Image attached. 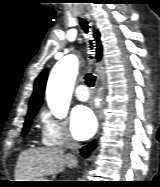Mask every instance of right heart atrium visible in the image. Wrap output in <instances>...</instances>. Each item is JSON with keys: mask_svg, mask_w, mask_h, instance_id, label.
<instances>
[{"mask_svg": "<svg viewBox=\"0 0 160 187\" xmlns=\"http://www.w3.org/2000/svg\"><path fill=\"white\" fill-rule=\"evenodd\" d=\"M42 142L47 146H76V141L72 136L66 123L49 111L44 110L40 115Z\"/></svg>", "mask_w": 160, "mask_h": 187, "instance_id": "d8ad5b80", "label": "right heart atrium"}]
</instances>
